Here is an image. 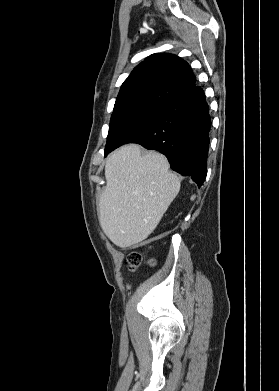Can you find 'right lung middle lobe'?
<instances>
[{
    "label": "right lung middle lobe",
    "instance_id": "right-lung-middle-lobe-1",
    "mask_svg": "<svg viewBox=\"0 0 279 391\" xmlns=\"http://www.w3.org/2000/svg\"><path fill=\"white\" fill-rule=\"evenodd\" d=\"M163 106L138 105L113 111L110 121L105 156L125 144L131 137L145 129Z\"/></svg>",
    "mask_w": 279,
    "mask_h": 391
}]
</instances>
